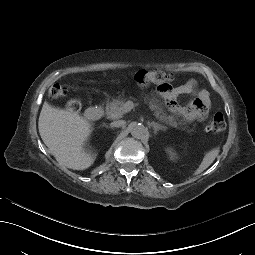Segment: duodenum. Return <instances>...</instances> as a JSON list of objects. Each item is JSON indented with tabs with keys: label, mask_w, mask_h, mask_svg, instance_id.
<instances>
[{
	"label": "duodenum",
	"mask_w": 255,
	"mask_h": 255,
	"mask_svg": "<svg viewBox=\"0 0 255 255\" xmlns=\"http://www.w3.org/2000/svg\"><path fill=\"white\" fill-rule=\"evenodd\" d=\"M103 110L100 107H89L86 110V118L91 121H96L101 118Z\"/></svg>",
	"instance_id": "duodenum-1"
}]
</instances>
